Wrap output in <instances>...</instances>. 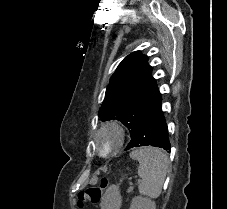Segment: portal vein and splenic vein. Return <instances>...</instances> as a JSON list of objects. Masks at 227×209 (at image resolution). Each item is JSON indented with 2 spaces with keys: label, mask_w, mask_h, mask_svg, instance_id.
<instances>
[{
  "label": "portal vein and splenic vein",
  "mask_w": 227,
  "mask_h": 209,
  "mask_svg": "<svg viewBox=\"0 0 227 209\" xmlns=\"http://www.w3.org/2000/svg\"><path fill=\"white\" fill-rule=\"evenodd\" d=\"M128 184H129V189H128L129 191H128L127 193L130 195V194L132 193L131 191H132L135 187H134V185H133L134 183H133L132 181H130Z\"/></svg>",
  "instance_id": "1"
}]
</instances>
